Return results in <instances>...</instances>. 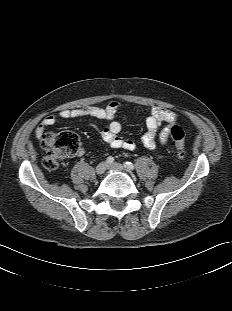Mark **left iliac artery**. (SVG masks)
Returning <instances> with one entry per match:
<instances>
[{
	"mask_svg": "<svg viewBox=\"0 0 232 311\" xmlns=\"http://www.w3.org/2000/svg\"><path fill=\"white\" fill-rule=\"evenodd\" d=\"M124 166L128 170H133L134 169V165L131 162H124Z\"/></svg>",
	"mask_w": 232,
	"mask_h": 311,
	"instance_id": "44dca946",
	"label": "left iliac artery"
}]
</instances>
